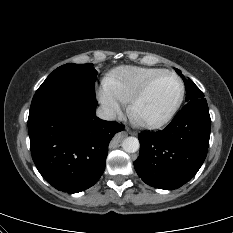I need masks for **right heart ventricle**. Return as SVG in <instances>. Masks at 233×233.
<instances>
[{"instance_id": "obj_1", "label": "right heart ventricle", "mask_w": 233, "mask_h": 233, "mask_svg": "<svg viewBox=\"0 0 233 233\" xmlns=\"http://www.w3.org/2000/svg\"><path fill=\"white\" fill-rule=\"evenodd\" d=\"M164 69L123 66L112 71L103 81L104 87L121 103H128L141 86Z\"/></svg>"}]
</instances>
